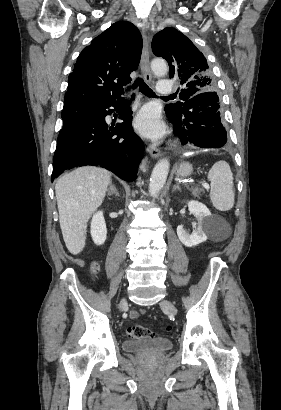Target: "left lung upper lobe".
Wrapping results in <instances>:
<instances>
[{"label":"left lung upper lobe","mask_w":281,"mask_h":410,"mask_svg":"<svg viewBox=\"0 0 281 410\" xmlns=\"http://www.w3.org/2000/svg\"><path fill=\"white\" fill-rule=\"evenodd\" d=\"M155 56L163 57L169 64V78H175L183 86L179 94L182 102L168 104V116H180L185 102L206 92H215L216 84L204 55L184 34L175 28H165L152 41Z\"/></svg>","instance_id":"5c2ea615"}]
</instances>
